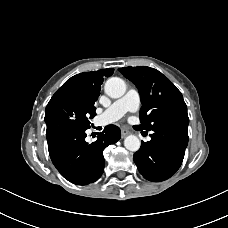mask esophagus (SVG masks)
<instances>
[{"instance_id":"1","label":"esophagus","mask_w":228,"mask_h":228,"mask_svg":"<svg viewBox=\"0 0 228 228\" xmlns=\"http://www.w3.org/2000/svg\"><path fill=\"white\" fill-rule=\"evenodd\" d=\"M129 134V131L127 129H121V135H122V138L126 137L127 135Z\"/></svg>"}]
</instances>
